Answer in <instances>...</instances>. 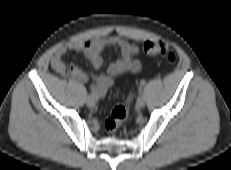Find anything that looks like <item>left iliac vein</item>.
Masks as SVG:
<instances>
[{
	"label": "left iliac vein",
	"mask_w": 231,
	"mask_h": 170,
	"mask_svg": "<svg viewBox=\"0 0 231 170\" xmlns=\"http://www.w3.org/2000/svg\"><path fill=\"white\" fill-rule=\"evenodd\" d=\"M137 106L142 108L145 106V99L144 97L140 96L138 99H137Z\"/></svg>",
	"instance_id": "4c4485c4"
}]
</instances>
